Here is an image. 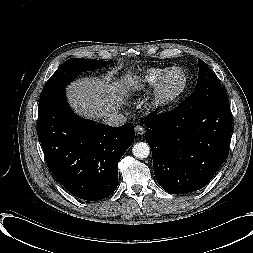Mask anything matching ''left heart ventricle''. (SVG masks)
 I'll use <instances>...</instances> for the list:
<instances>
[{"mask_svg": "<svg viewBox=\"0 0 253 253\" xmlns=\"http://www.w3.org/2000/svg\"><path fill=\"white\" fill-rule=\"evenodd\" d=\"M183 78L180 72H173L164 83V92L167 94L175 92L182 84Z\"/></svg>", "mask_w": 253, "mask_h": 253, "instance_id": "1", "label": "left heart ventricle"}]
</instances>
